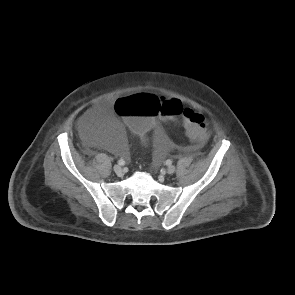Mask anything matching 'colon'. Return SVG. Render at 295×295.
I'll use <instances>...</instances> for the list:
<instances>
[{
	"label": "colon",
	"mask_w": 295,
	"mask_h": 295,
	"mask_svg": "<svg viewBox=\"0 0 295 295\" xmlns=\"http://www.w3.org/2000/svg\"><path fill=\"white\" fill-rule=\"evenodd\" d=\"M119 120L127 129L138 136L149 133L157 121V114L164 116L165 121H174L177 116L183 122L188 137L195 143H202L208 137V126L205 119L195 113L189 105H182L177 99L159 98L152 94L138 93L122 98L115 103Z\"/></svg>",
	"instance_id": "1"
}]
</instances>
